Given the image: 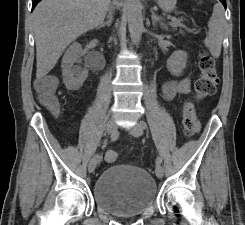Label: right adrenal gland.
Segmentation results:
<instances>
[{
	"label": "right adrenal gland",
	"instance_id": "obj_1",
	"mask_svg": "<svg viewBox=\"0 0 245 225\" xmlns=\"http://www.w3.org/2000/svg\"><path fill=\"white\" fill-rule=\"evenodd\" d=\"M112 21H113V17H112V15L110 14L108 17H107V21H103L96 29H100V28H102V27H105V26H107V27H110L111 26V24H112Z\"/></svg>",
	"mask_w": 245,
	"mask_h": 225
}]
</instances>
